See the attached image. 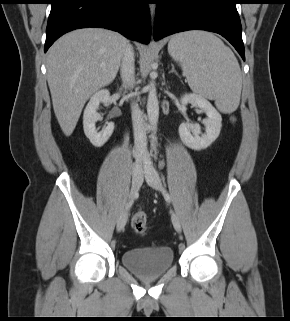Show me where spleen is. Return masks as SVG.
<instances>
[{
    "label": "spleen",
    "instance_id": "spleen-1",
    "mask_svg": "<svg viewBox=\"0 0 290 321\" xmlns=\"http://www.w3.org/2000/svg\"><path fill=\"white\" fill-rule=\"evenodd\" d=\"M168 52L180 63L194 93L215 100L223 113L237 109L242 89L240 66L218 37L205 31L179 33L170 40Z\"/></svg>",
    "mask_w": 290,
    "mask_h": 321
}]
</instances>
